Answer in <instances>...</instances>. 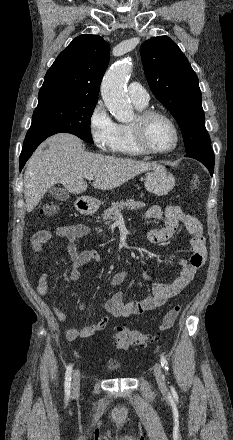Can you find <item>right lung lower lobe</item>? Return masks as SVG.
<instances>
[{
	"mask_svg": "<svg viewBox=\"0 0 233 440\" xmlns=\"http://www.w3.org/2000/svg\"><path fill=\"white\" fill-rule=\"evenodd\" d=\"M56 134V133H31L27 132L25 137L24 145L22 148V152L20 155V171L25 165L26 161L30 158L33 151L37 148V146L43 142L47 137Z\"/></svg>",
	"mask_w": 233,
	"mask_h": 440,
	"instance_id": "obj_1",
	"label": "right lung lower lobe"
}]
</instances>
